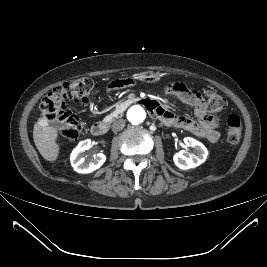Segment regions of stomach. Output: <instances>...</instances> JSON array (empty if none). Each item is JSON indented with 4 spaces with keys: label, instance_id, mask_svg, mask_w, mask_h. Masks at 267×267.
Wrapping results in <instances>:
<instances>
[{
    "label": "stomach",
    "instance_id": "1",
    "mask_svg": "<svg viewBox=\"0 0 267 267\" xmlns=\"http://www.w3.org/2000/svg\"><path fill=\"white\" fill-rule=\"evenodd\" d=\"M162 74L159 72H153V71H142L140 73H137L135 75V78L137 80H140L142 82L146 83H155L160 81Z\"/></svg>",
    "mask_w": 267,
    "mask_h": 267
}]
</instances>
